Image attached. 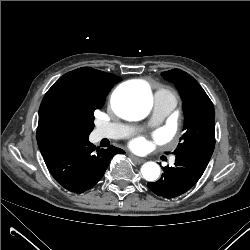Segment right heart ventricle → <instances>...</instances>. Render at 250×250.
<instances>
[{
    "mask_svg": "<svg viewBox=\"0 0 250 250\" xmlns=\"http://www.w3.org/2000/svg\"><path fill=\"white\" fill-rule=\"evenodd\" d=\"M157 94H161V95H164V96H167V97H170V98H173L176 100L175 98V95L172 93L171 90L167 89V88H159L156 93H155V96Z\"/></svg>",
    "mask_w": 250,
    "mask_h": 250,
    "instance_id": "right-heart-ventricle-1",
    "label": "right heart ventricle"
}]
</instances>
